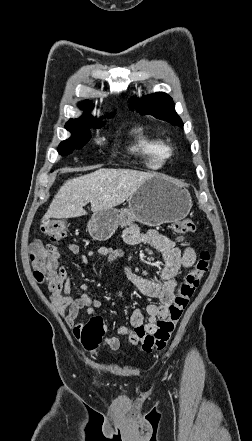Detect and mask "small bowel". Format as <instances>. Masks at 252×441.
Here are the masks:
<instances>
[{"label": "small bowel", "mask_w": 252, "mask_h": 441, "mask_svg": "<svg viewBox=\"0 0 252 441\" xmlns=\"http://www.w3.org/2000/svg\"><path fill=\"white\" fill-rule=\"evenodd\" d=\"M124 239L131 245L149 244L161 251L164 257V263L158 280H150L138 276L129 267L125 268V274L131 287L138 289L146 296L159 300L158 304H149L146 307V319L140 309H134L130 316L131 327L121 326L118 329L119 333L126 336L132 345L141 348L135 329L143 326L148 333H152L155 330L156 321L167 316L168 307L173 302L178 288L177 276L181 270L193 266L196 261V251L190 246L180 249L169 236L155 229L139 231L137 228L131 227L125 231ZM67 249L70 253L80 256L83 263H88L93 255L105 257L108 263L115 261L123 255L122 251L110 248H99L96 251L83 254L76 244H68ZM58 258L59 253L57 251L54 254V259L57 260ZM57 269V279L47 283L50 300L60 316L63 317L73 335L80 339V334L84 327V323L77 321L80 311L85 310L86 315L92 317L95 310L101 306V302L91 298L89 294L90 288L87 284L80 286L81 294L78 297L71 296L69 293L70 277L67 270L63 266ZM124 292L125 290L118 289L114 294L116 297H121ZM104 342L113 351H117L120 348L118 338L108 337L104 339Z\"/></svg>", "instance_id": "1"}]
</instances>
